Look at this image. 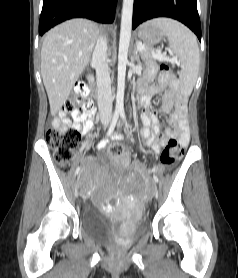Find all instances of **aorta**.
Instances as JSON below:
<instances>
[{
	"label": "aorta",
	"instance_id": "762f6f07",
	"mask_svg": "<svg viewBox=\"0 0 238 278\" xmlns=\"http://www.w3.org/2000/svg\"><path fill=\"white\" fill-rule=\"evenodd\" d=\"M134 0H123L120 41H119V54H118V85L115 113L120 114L124 111V88L126 65L128 62V48L131 38L132 30V15H133Z\"/></svg>",
	"mask_w": 238,
	"mask_h": 278
}]
</instances>
